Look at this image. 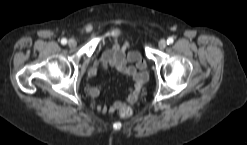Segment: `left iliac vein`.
<instances>
[{"mask_svg":"<svg viewBox=\"0 0 247 145\" xmlns=\"http://www.w3.org/2000/svg\"><path fill=\"white\" fill-rule=\"evenodd\" d=\"M166 46H167L166 40L161 39V40L158 42V47H159L160 49H164Z\"/></svg>","mask_w":247,"mask_h":145,"instance_id":"4c4485c4","label":"left iliac vein"}]
</instances>
